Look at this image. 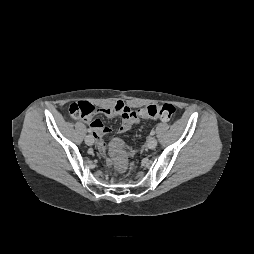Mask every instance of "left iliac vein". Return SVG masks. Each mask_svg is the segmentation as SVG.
<instances>
[{"label":"left iliac vein","instance_id":"left-iliac-vein-1","mask_svg":"<svg viewBox=\"0 0 254 254\" xmlns=\"http://www.w3.org/2000/svg\"><path fill=\"white\" fill-rule=\"evenodd\" d=\"M157 146V139L155 137H149L147 140V147L154 149Z\"/></svg>","mask_w":254,"mask_h":254}]
</instances>
